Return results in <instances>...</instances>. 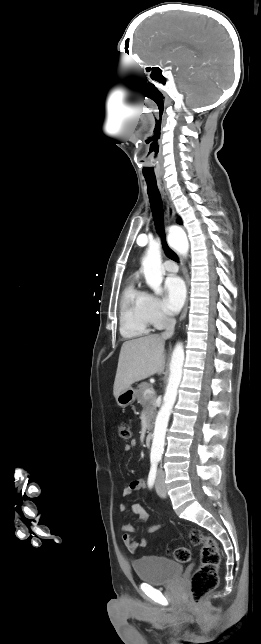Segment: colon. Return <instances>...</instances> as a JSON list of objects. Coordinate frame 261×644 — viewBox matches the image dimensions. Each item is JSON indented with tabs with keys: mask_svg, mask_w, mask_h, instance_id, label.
<instances>
[{
	"mask_svg": "<svg viewBox=\"0 0 261 644\" xmlns=\"http://www.w3.org/2000/svg\"><path fill=\"white\" fill-rule=\"evenodd\" d=\"M131 435L129 424L121 423L119 437L129 440ZM189 538L192 544L201 546V562L190 579V599L197 605L218 584L220 552L216 540L198 529H192ZM173 557L178 562L186 563L191 559V552L187 547H178L173 551Z\"/></svg>",
	"mask_w": 261,
	"mask_h": 644,
	"instance_id": "colon-1",
	"label": "colon"
}]
</instances>
